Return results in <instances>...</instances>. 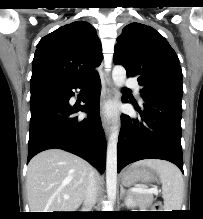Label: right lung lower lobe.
I'll return each instance as SVG.
<instances>
[{
	"label": "right lung lower lobe",
	"mask_w": 203,
	"mask_h": 219,
	"mask_svg": "<svg viewBox=\"0 0 203 219\" xmlns=\"http://www.w3.org/2000/svg\"><path fill=\"white\" fill-rule=\"evenodd\" d=\"M90 84L82 101L85 105L69 104L73 89ZM101 81L99 74L80 80L52 81L31 88L29 162L41 151L59 148L82 157L101 173L105 170L106 140L99 115ZM78 111L88 117L80 120Z\"/></svg>",
	"instance_id": "98d812e1"
}]
</instances>
